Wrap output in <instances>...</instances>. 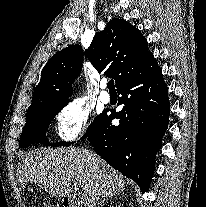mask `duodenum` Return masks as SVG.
<instances>
[{"instance_id": "410a0bca", "label": "duodenum", "mask_w": 206, "mask_h": 207, "mask_svg": "<svg viewBox=\"0 0 206 207\" xmlns=\"http://www.w3.org/2000/svg\"><path fill=\"white\" fill-rule=\"evenodd\" d=\"M68 204L66 205V207H77L75 204V201L72 198H68Z\"/></svg>"}]
</instances>
